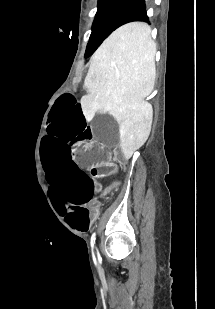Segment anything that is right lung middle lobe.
<instances>
[{
    "instance_id": "1",
    "label": "right lung middle lobe",
    "mask_w": 215,
    "mask_h": 309,
    "mask_svg": "<svg viewBox=\"0 0 215 309\" xmlns=\"http://www.w3.org/2000/svg\"><path fill=\"white\" fill-rule=\"evenodd\" d=\"M133 0H98V11L93 23L85 57L90 56L103 40L118 27V22Z\"/></svg>"
}]
</instances>
